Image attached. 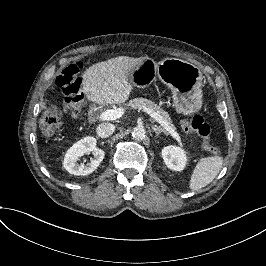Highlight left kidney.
<instances>
[{
	"instance_id": "5707ae66",
	"label": "left kidney",
	"mask_w": 266,
	"mask_h": 266,
	"mask_svg": "<svg viewBox=\"0 0 266 266\" xmlns=\"http://www.w3.org/2000/svg\"><path fill=\"white\" fill-rule=\"evenodd\" d=\"M162 156L166 166L174 171H180L185 166V155L177 147H165Z\"/></svg>"
}]
</instances>
